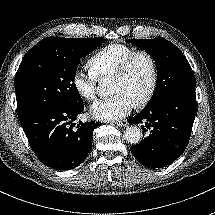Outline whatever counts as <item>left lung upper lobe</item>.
<instances>
[{
	"label": "left lung upper lobe",
	"mask_w": 215,
	"mask_h": 215,
	"mask_svg": "<svg viewBox=\"0 0 215 215\" xmlns=\"http://www.w3.org/2000/svg\"><path fill=\"white\" fill-rule=\"evenodd\" d=\"M127 42L144 49L155 60L157 85L152 98L144 109L159 102L166 96L195 87V76L182 52L164 38L129 39Z\"/></svg>",
	"instance_id": "left-lung-upper-lobe-1"
}]
</instances>
